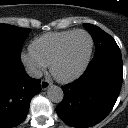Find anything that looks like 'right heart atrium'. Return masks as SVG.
<instances>
[{"mask_svg":"<svg viewBox=\"0 0 128 128\" xmlns=\"http://www.w3.org/2000/svg\"><path fill=\"white\" fill-rule=\"evenodd\" d=\"M20 59L29 73L35 77H39L47 67L31 51H23L20 54Z\"/></svg>","mask_w":128,"mask_h":128,"instance_id":"d8ad5b80","label":"right heart atrium"}]
</instances>
